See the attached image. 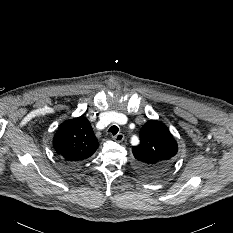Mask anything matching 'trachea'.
Here are the masks:
<instances>
[{
    "label": "trachea",
    "instance_id": "trachea-1",
    "mask_svg": "<svg viewBox=\"0 0 233 233\" xmlns=\"http://www.w3.org/2000/svg\"><path fill=\"white\" fill-rule=\"evenodd\" d=\"M119 131V128L115 125L111 126L108 130V132L112 133L113 135H116Z\"/></svg>",
    "mask_w": 233,
    "mask_h": 233
}]
</instances>
